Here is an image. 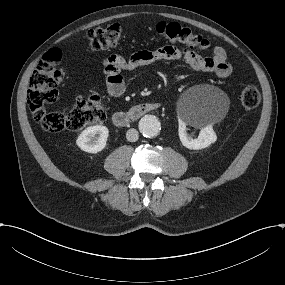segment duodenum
I'll return each mask as SVG.
<instances>
[{
	"label": "duodenum",
	"instance_id": "1",
	"mask_svg": "<svg viewBox=\"0 0 285 285\" xmlns=\"http://www.w3.org/2000/svg\"><path fill=\"white\" fill-rule=\"evenodd\" d=\"M160 108L161 104L157 102L137 103L126 111L115 112L112 116V121L117 127H127L132 122L140 119L144 114Z\"/></svg>",
	"mask_w": 285,
	"mask_h": 285
}]
</instances>
